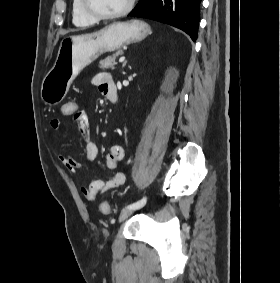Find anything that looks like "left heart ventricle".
I'll use <instances>...</instances> for the list:
<instances>
[{"label": "left heart ventricle", "instance_id": "obj_1", "mask_svg": "<svg viewBox=\"0 0 280 283\" xmlns=\"http://www.w3.org/2000/svg\"><path fill=\"white\" fill-rule=\"evenodd\" d=\"M128 0H89L90 6L101 14H113L122 10Z\"/></svg>", "mask_w": 280, "mask_h": 283}]
</instances>
